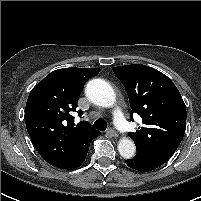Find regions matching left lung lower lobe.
<instances>
[{
  "mask_svg": "<svg viewBox=\"0 0 201 201\" xmlns=\"http://www.w3.org/2000/svg\"><path fill=\"white\" fill-rule=\"evenodd\" d=\"M173 154H136L133 159L125 160V163L132 169L148 172L164 164Z\"/></svg>",
  "mask_w": 201,
  "mask_h": 201,
  "instance_id": "1",
  "label": "left lung lower lobe"
}]
</instances>
